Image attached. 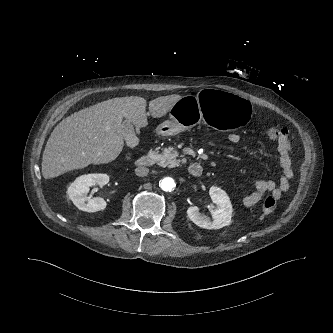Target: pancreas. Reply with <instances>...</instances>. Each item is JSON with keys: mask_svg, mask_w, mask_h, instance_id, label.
I'll return each mask as SVG.
<instances>
[{"mask_svg": "<svg viewBox=\"0 0 333 333\" xmlns=\"http://www.w3.org/2000/svg\"><path fill=\"white\" fill-rule=\"evenodd\" d=\"M160 148H156L155 154L157 156L158 164L160 166L175 167L181 163V160L177 159L179 153L174 147L164 148L162 153H159Z\"/></svg>", "mask_w": 333, "mask_h": 333, "instance_id": "1", "label": "pancreas"}]
</instances>
